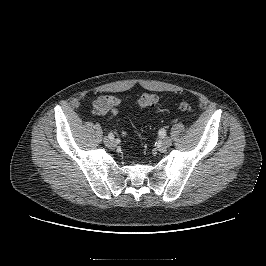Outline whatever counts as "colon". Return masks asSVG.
I'll return each instance as SVG.
<instances>
[{"label": "colon", "mask_w": 266, "mask_h": 266, "mask_svg": "<svg viewBox=\"0 0 266 266\" xmlns=\"http://www.w3.org/2000/svg\"><path fill=\"white\" fill-rule=\"evenodd\" d=\"M156 103H157V96L151 93L142 94L137 100V105L141 108L152 107ZM180 109L184 112H190L191 105L188 102H182L180 104Z\"/></svg>", "instance_id": "obj_1"}]
</instances>
